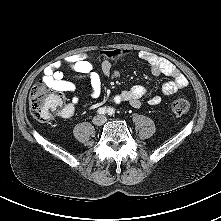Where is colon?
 <instances>
[{"instance_id": "obj_1", "label": "colon", "mask_w": 221, "mask_h": 221, "mask_svg": "<svg viewBox=\"0 0 221 221\" xmlns=\"http://www.w3.org/2000/svg\"><path fill=\"white\" fill-rule=\"evenodd\" d=\"M125 50H108L101 53V56L108 60H117L124 55ZM84 59H94L95 54L90 52L82 55ZM64 104L63 94L58 91L49 88L43 83L35 85L30 93L29 107L31 114L39 121H48L53 119L59 113H62ZM172 111L176 115H184L190 111V103L183 98L175 99L171 104Z\"/></svg>"}]
</instances>
